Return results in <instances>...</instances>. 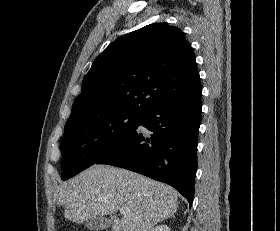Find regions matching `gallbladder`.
I'll return each instance as SVG.
<instances>
[{
  "mask_svg": "<svg viewBox=\"0 0 280 231\" xmlns=\"http://www.w3.org/2000/svg\"><path fill=\"white\" fill-rule=\"evenodd\" d=\"M85 227L88 229H108L110 227V221L108 217H104V215H99V217H92V219H88L84 223Z\"/></svg>",
  "mask_w": 280,
  "mask_h": 231,
  "instance_id": "bac80fb5",
  "label": "gallbladder"
}]
</instances>
